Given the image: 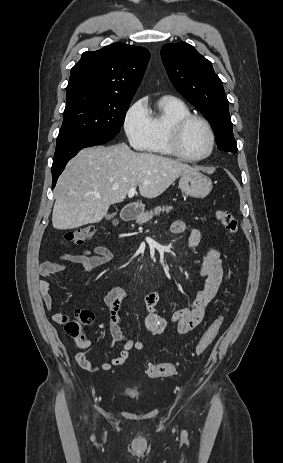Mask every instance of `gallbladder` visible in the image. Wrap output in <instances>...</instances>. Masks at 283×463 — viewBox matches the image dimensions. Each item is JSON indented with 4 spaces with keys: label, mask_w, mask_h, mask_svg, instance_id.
Returning a JSON list of instances; mask_svg holds the SVG:
<instances>
[{
    "label": "gallbladder",
    "mask_w": 283,
    "mask_h": 463,
    "mask_svg": "<svg viewBox=\"0 0 283 463\" xmlns=\"http://www.w3.org/2000/svg\"><path fill=\"white\" fill-rule=\"evenodd\" d=\"M107 217H108V218H111V217H112V215H107Z\"/></svg>",
    "instance_id": "obj_1"
}]
</instances>
